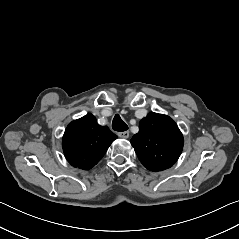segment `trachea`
<instances>
[{"label": "trachea", "instance_id": "3493384b", "mask_svg": "<svg viewBox=\"0 0 239 239\" xmlns=\"http://www.w3.org/2000/svg\"><path fill=\"white\" fill-rule=\"evenodd\" d=\"M112 129L118 132H124L128 130L127 124L121 119L119 114H116L114 116V119L112 122Z\"/></svg>", "mask_w": 239, "mask_h": 239}]
</instances>
